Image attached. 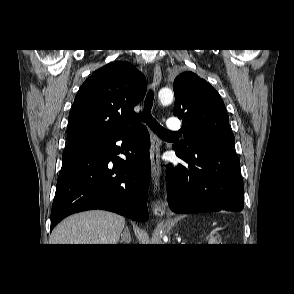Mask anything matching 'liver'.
<instances>
[{
  "label": "liver",
  "instance_id": "obj_1",
  "mask_svg": "<svg viewBox=\"0 0 294 294\" xmlns=\"http://www.w3.org/2000/svg\"><path fill=\"white\" fill-rule=\"evenodd\" d=\"M125 218L102 210L72 215L51 233V244H117Z\"/></svg>",
  "mask_w": 294,
  "mask_h": 294
}]
</instances>
